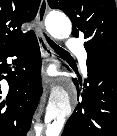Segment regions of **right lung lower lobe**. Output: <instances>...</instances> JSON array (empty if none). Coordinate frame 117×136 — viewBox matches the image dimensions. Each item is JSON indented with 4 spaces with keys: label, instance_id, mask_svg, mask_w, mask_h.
<instances>
[{
    "label": "right lung lower lobe",
    "instance_id": "1",
    "mask_svg": "<svg viewBox=\"0 0 117 136\" xmlns=\"http://www.w3.org/2000/svg\"><path fill=\"white\" fill-rule=\"evenodd\" d=\"M7 57H16L12 64ZM14 68V70H12ZM0 136H26L42 94L40 49L33 33L0 52Z\"/></svg>",
    "mask_w": 117,
    "mask_h": 136
}]
</instances>
